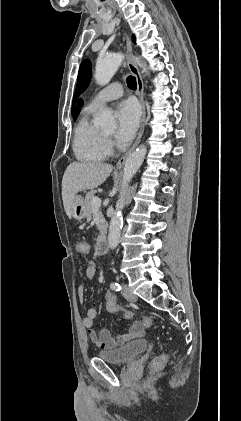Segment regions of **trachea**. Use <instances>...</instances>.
Masks as SVG:
<instances>
[{"mask_svg":"<svg viewBox=\"0 0 241 421\" xmlns=\"http://www.w3.org/2000/svg\"><path fill=\"white\" fill-rule=\"evenodd\" d=\"M126 82L130 89L135 90L137 88L136 78L134 76H128Z\"/></svg>","mask_w":241,"mask_h":421,"instance_id":"1","label":"trachea"}]
</instances>
